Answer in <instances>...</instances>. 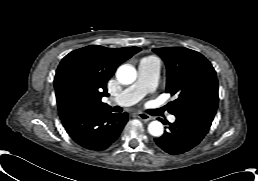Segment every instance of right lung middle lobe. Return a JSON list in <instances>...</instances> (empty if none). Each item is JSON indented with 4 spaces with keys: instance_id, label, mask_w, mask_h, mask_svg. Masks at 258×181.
Masks as SVG:
<instances>
[{
    "instance_id": "dd1d6c3e",
    "label": "right lung middle lobe",
    "mask_w": 258,
    "mask_h": 181,
    "mask_svg": "<svg viewBox=\"0 0 258 181\" xmlns=\"http://www.w3.org/2000/svg\"><path fill=\"white\" fill-rule=\"evenodd\" d=\"M82 108H83V106H81L80 104H74V105H73V109H74V110L82 109Z\"/></svg>"
}]
</instances>
